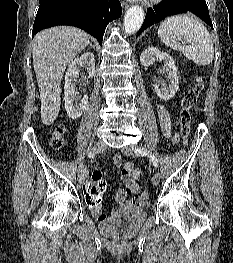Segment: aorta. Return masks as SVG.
Wrapping results in <instances>:
<instances>
[{
	"label": "aorta",
	"mask_w": 233,
	"mask_h": 263,
	"mask_svg": "<svg viewBox=\"0 0 233 263\" xmlns=\"http://www.w3.org/2000/svg\"><path fill=\"white\" fill-rule=\"evenodd\" d=\"M144 21V10L142 7L132 6L124 17V30L127 34H133L140 29Z\"/></svg>",
	"instance_id": "aorta-1"
}]
</instances>
